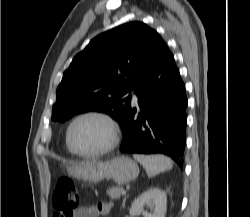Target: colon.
Here are the masks:
<instances>
[{
  "instance_id": "1",
  "label": "colon",
  "mask_w": 250,
  "mask_h": 217,
  "mask_svg": "<svg viewBox=\"0 0 250 217\" xmlns=\"http://www.w3.org/2000/svg\"><path fill=\"white\" fill-rule=\"evenodd\" d=\"M79 202L77 188L72 179L61 177L57 180L52 196L53 217H72Z\"/></svg>"
}]
</instances>
